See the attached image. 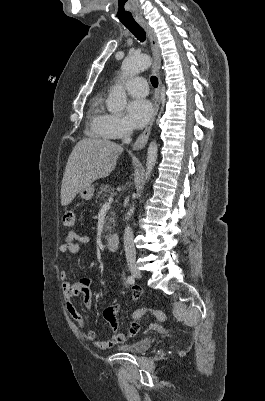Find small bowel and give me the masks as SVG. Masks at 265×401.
Masks as SVG:
<instances>
[{
    "instance_id": "small-bowel-1",
    "label": "small bowel",
    "mask_w": 265,
    "mask_h": 401,
    "mask_svg": "<svg viewBox=\"0 0 265 401\" xmlns=\"http://www.w3.org/2000/svg\"><path fill=\"white\" fill-rule=\"evenodd\" d=\"M90 239L88 236L81 235L75 231H71L64 242L60 245L59 251L63 254L78 253L82 244L89 243ZM60 278L62 281V292L65 301L67 311L71 318L77 323L78 327L84 332L85 337L89 343L96 346L99 349L106 350L114 347L115 345L124 344L127 342L129 335L119 332V322L117 319L120 311V306L117 303L109 305L103 311V316L106 322L111 327L113 334L106 340H99L96 333L87 327L83 315L77 309L74 298L81 296V302L83 307L88 313L92 309V293L90 289L91 279L83 278L76 282H70L67 280V272L62 270L60 272ZM141 295V290L138 287L132 288V297L134 300L138 299Z\"/></svg>"
}]
</instances>
